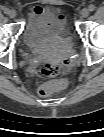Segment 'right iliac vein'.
I'll return each instance as SVG.
<instances>
[{
    "label": "right iliac vein",
    "instance_id": "1",
    "mask_svg": "<svg viewBox=\"0 0 104 137\" xmlns=\"http://www.w3.org/2000/svg\"><path fill=\"white\" fill-rule=\"evenodd\" d=\"M7 14L10 18H15L16 15H17V12L14 9H11V10L8 11Z\"/></svg>",
    "mask_w": 104,
    "mask_h": 137
}]
</instances>
